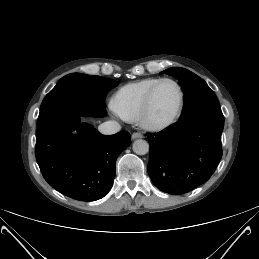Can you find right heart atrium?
<instances>
[{
  "label": "right heart atrium",
  "instance_id": "1",
  "mask_svg": "<svg viewBox=\"0 0 259 259\" xmlns=\"http://www.w3.org/2000/svg\"><path fill=\"white\" fill-rule=\"evenodd\" d=\"M111 109H112V112H113L114 114L118 115V113H117V111H116V109H115L114 105H113V106H111Z\"/></svg>",
  "mask_w": 259,
  "mask_h": 259
}]
</instances>
